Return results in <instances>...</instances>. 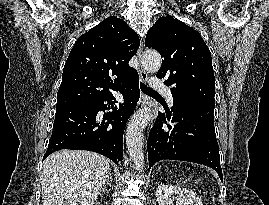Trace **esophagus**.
Wrapping results in <instances>:
<instances>
[{"label":"esophagus","mask_w":269,"mask_h":205,"mask_svg":"<svg viewBox=\"0 0 269 205\" xmlns=\"http://www.w3.org/2000/svg\"><path fill=\"white\" fill-rule=\"evenodd\" d=\"M142 50H143V44L141 43L138 51H137V57L138 59H140V56H141V53H142ZM139 75H140V78H141V81L146 83L147 80H148V74L145 70H143L142 68H139ZM150 104L148 98L144 95H142L141 97V105L145 106V105H148ZM153 126V120H151V122L149 123V126H148V130Z\"/></svg>","instance_id":"esophagus-1"}]
</instances>
